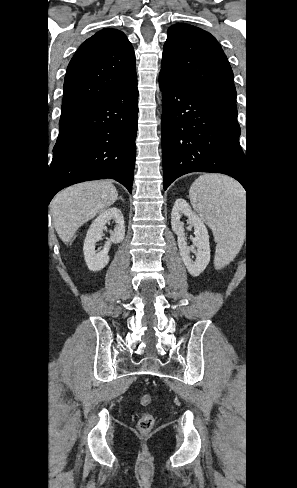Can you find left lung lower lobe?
<instances>
[{
  "label": "left lung lower lobe",
  "mask_w": 297,
  "mask_h": 488,
  "mask_svg": "<svg viewBox=\"0 0 297 488\" xmlns=\"http://www.w3.org/2000/svg\"><path fill=\"white\" fill-rule=\"evenodd\" d=\"M162 156L164 189L191 172L223 173L248 188L237 117L185 91L164 74Z\"/></svg>",
  "instance_id": "obj_1"
}]
</instances>
